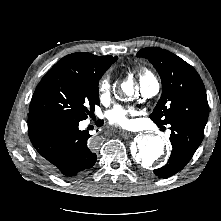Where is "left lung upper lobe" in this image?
<instances>
[{
  "label": "left lung upper lobe",
  "instance_id": "left-lung-upper-lobe-1",
  "mask_svg": "<svg viewBox=\"0 0 221 221\" xmlns=\"http://www.w3.org/2000/svg\"><path fill=\"white\" fill-rule=\"evenodd\" d=\"M137 57L148 59L162 81V95L150 115L151 120L159 127L182 121L205 128L209 108L205 87L196 70L158 47L141 49Z\"/></svg>",
  "mask_w": 221,
  "mask_h": 221
}]
</instances>
